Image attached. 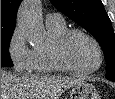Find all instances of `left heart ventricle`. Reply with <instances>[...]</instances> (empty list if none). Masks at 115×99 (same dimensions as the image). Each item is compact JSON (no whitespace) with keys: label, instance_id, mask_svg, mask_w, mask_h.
<instances>
[{"label":"left heart ventricle","instance_id":"left-heart-ventricle-1","mask_svg":"<svg viewBox=\"0 0 115 99\" xmlns=\"http://www.w3.org/2000/svg\"><path fill=\"white\" fill-rule=\"evenodd\" d=\"M65 60L78 69H89L97 64L98 56L94 45L84 36L76 34L66 42L63 50Z\"/></svg>","mask_w":115,"mask_h":99}]
</instances>
